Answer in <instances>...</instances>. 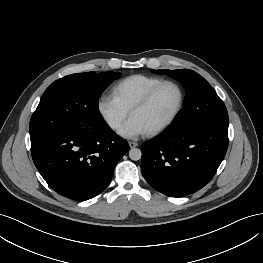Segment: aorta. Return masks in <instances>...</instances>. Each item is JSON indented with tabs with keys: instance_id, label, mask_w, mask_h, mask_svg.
<instances>
[{
	"instance_id": "obj_1",
	"label": "aorta",
	"mask_w": 263,
	"mask_h": 263,
	"mask_svg": "<svg viewBox=\"0 0 263 263\" xmlns=\"http://www.w3.org/2000/svg\"><path fill=\"white\" fill-rule=\"evenodd\" d=\"M142 152L138 148H132L129 150V157L131 160L138 161L141 159Z\"/></svg>"
}]
</instances>
